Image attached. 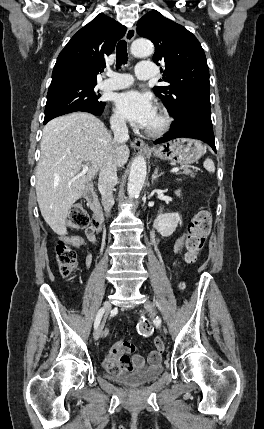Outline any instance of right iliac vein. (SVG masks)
Instances as JSON below:
<instances>
[{
  "label": "right iliac vein",
  "instance_id": "right-iliac-vein-1",
  "mask_svg": "<svg viewBox=\"0 0 264 429\" xmlns=\"http://www.w3.org/2000/svg\"><path fill=\"white\" fill-rule=\"evenodd\" d=\"M103 308L106 311V313H103L102 322L104 323L106 319L108 318V314H111V309L113 308L111 306V303L109 301L105 302L103 304ZM103 323H101L97 328H95L93 333L94 340H98L101 336L102 330H103Z\"/></svg>",
  "mask_w": 264,
  "mask_h": 429
}]
</instances>
